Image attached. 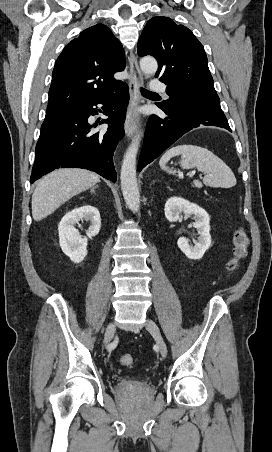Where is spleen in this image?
I'll use <instances>...</instances> for the list:
<instances>
[{
    "mask_svg": "<svg viewBox=\"0 0 272 452\" xmlns=\"http://www.w3.org/2000/svg\"><path fill=\"white\" fill-rule=\"evenodd\" d=\"M175 156H181L179 164L182 168H197L205 173L203 183L207 186L231 188L236 185L235 175L229 166L206 148L186 144L172 147L160 158L161 168L167 170L166 163ZM194 185L201 188L202 182L194 180Z\"/></svg>",
    "mask_w": 272,
    "mask_h": 452,
    "instance_id": "spleen-1",
    "label": "spleen"
}]
</instances>
